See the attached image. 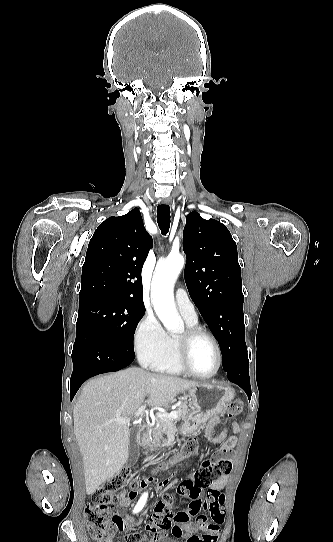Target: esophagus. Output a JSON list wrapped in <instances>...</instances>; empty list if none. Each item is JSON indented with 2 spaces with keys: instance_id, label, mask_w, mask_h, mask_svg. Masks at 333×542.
Listing matches in <instances>:
<instances>
[{
  "instance_id": "esophagus-1",
  "label": "esophagus",
  "mask_w": 333,
  "mask_h": 542,
  "mask_svg": "<svg viewBox=\"0 0 333 542\" xmlns=\"http://www.w3.org/2000/svg\"><path fill=\"white\" fill-rule=\"evenodd\" d=\"M163 203L164 204H170L171 203V198L170 197L164 198Z\"/></svg>"
}]
</instances>
